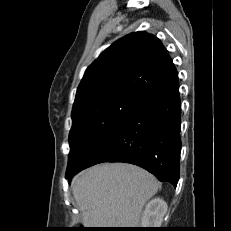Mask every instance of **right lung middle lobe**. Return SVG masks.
I'll list each match as a JSON object with an SVG mask.
<instances>
[{
	"label": "right lung middle lobe",
	"mask_w": 231,
	"mask_h": 231,
	"mask_svg": "<svg viewBox=\"0 0 231 231\" xmlns=\"http://www.w3.org/2000/svg\"><path fill=\"white\" fill-rule=\"evenodd\" d=\"M142 100L132 94H114L72 111L67 169L77 167L100 142L138 110Z\"/></svg>",
	"instance_id": "right-lung-middle-lobe-1"
}]
</instances>
